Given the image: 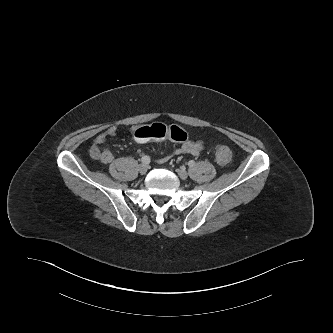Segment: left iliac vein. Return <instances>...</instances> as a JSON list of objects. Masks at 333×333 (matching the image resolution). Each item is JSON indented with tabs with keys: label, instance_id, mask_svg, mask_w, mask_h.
I'll return each instance as SVG.
<instances>
[{
	"label": "left iliac vein",
	"instance_id": "left-iliac-vein-1",
	"mask_svg": "<svg viewBox=\"0 0 333 333\" xmlns=\"http://www.w3.org/2000/svg\"><path fill=\"white\" fill-rule=\"evenodd\" d=\"M177 172H178V176H179L182 180L187 179V177H188V173H187L186 170H184V169H179Z\"/></svg>",
	"mask_w": 333,
	"mask_h": 333
}]
</instances>
